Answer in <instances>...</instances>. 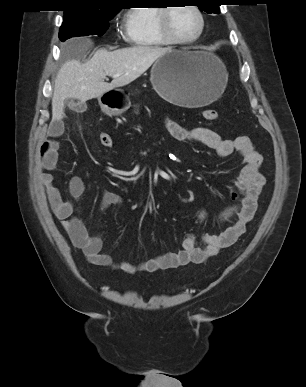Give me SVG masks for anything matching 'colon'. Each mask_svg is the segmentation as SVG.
I'll use <instances>...</instances> for the list:
<instances>
[{
    "mask_svg": "<svg viewBox=\"0 0 306 387\" xmlns=\"http://www.w3.org/2000/svg\"><path fill=\"white\" fill-rule=\"evenodd\" d=\"M203 116L207 121H216L219 117V114L214 109H206L203 112ZM99 142L102 146L110 147L112 145V137L107 132H101L99 135Z\"/></svg>",
    "mask_w": 306,
    "mask_h": 387,
    "instance_id": "5ec220e1",
    "label": "colon"
}]
</instances>
